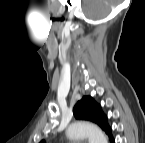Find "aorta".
Here are the masks:
<instances>
[{"mask_svg":"<svg viewBox=\"0 0 145 143\" xmlns=\"http://www.w3.org/2000/svg\"><path fill=\"white\" fill-rule=\"evenodd\" d=\"M66 134L72 140L88 138L89 143L108 142L106 135L99 127L83 121H77L69 125Z\"/></svg>","mask_w":145,"mask_h":143,"instance_id":"762f6f07","label":"aorta"}]
</instances>
